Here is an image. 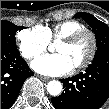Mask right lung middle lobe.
Wrapping results in <instances>:
<instances>
[{
	"label": "right lung middle lobe",
	"mask_w": 109,
	"mask_h": 109,
	"mask_svg": "<svg viewBox=\"0 0 109 109\" xmlns=\"http://www.w3.org/2000/svg\"><path fill=\"white\" fill-rule=\"evenodd\" d=\"M24 27L16 26L8 21H1V48L6 50L18 51L15 43L17 30Z\"/></svg>",
	"instance_id": "obj_1"
}]
</instances>
